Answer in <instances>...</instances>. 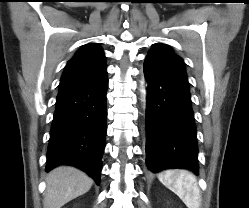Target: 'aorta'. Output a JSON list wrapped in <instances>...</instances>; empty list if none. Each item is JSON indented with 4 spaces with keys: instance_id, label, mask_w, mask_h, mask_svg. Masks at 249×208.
Returning a JSON list of instances; mask_svg holds the SVG:
<instances>
[{
    "instance_id": "1",
    "label": "aorta",
    "mask_w": 249,
    "mask_h": 208,
    "mask_svg": "<svg viewBox=\"0 0 249 208\" xmlns=\"http://www.w3.org/2000/svg\"><path fill=\"white\" fill-rule=\"evenodd\" d=\"M142 93L145 94V90L144 89H142Z\"/></svg>"
}]
</instances>
